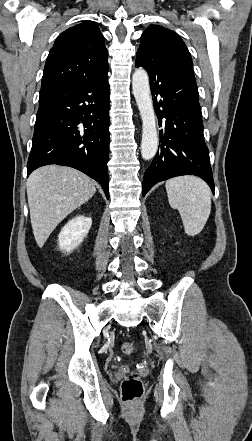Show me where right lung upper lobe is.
<instances>
[{
    "mask_svg": "<svg viewBox=\"0 0 252 441\" xmlns=\"http://www.w3.org/2000/svg\"><path fill=\"white\" fill-rule=\"evenodd\" d=\"M107 58L104 37L94 22L65 30L47 57L40 94L79 82L106 80Z\"/></svg>",
    "mask_w": 252,
    "mask_h": 441,
    "instance_id": "1",
    "label": "right lung upper lobe"
}]
</instances>
